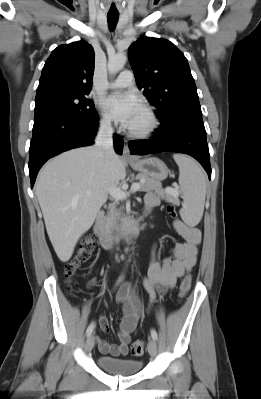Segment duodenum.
I'll return each mask as SVG.
<instances>
[{
  "label": "duodenum",
  "mask_w": 261,
  "mask_h": 399,
  "mask_svg": "<svg viewBox=\"0 0 261 399\" xmlns=\"http://www.w3.org/2000/svg\"><path fill=\"white\" fill-rule=\"evenodd\" d=\"M149 211L134 217L124 230L118 234H112L106 227L105 216L102 212L98 213L93 230L98 239V243L103 248H110L119 239H134L142 226V223Z\"/></svg>",
  "instance_id": "410a0bca"
}]
</instances>
